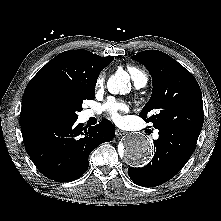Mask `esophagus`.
<instances>
[{
  "label": "esophagus",
  "mask_w": 221,
  "mask_h": 221,
  "mask_svg": "<svg viewBox=\"0 0 221 221\" xmlns=\"http://www.w3.org/2000/svg\"><path fill=\"white\" fill-rule=\"evenodd\" d=\"M116 136L117 137H119V136H123V135H125L126 134V132L125 131H122V130H120V129H116Z\"/></svg>",
  "instance_id": "obj_1"
}]
</instances>
